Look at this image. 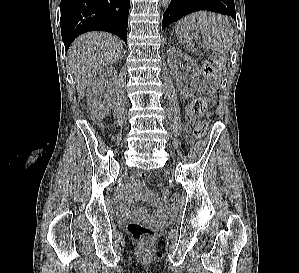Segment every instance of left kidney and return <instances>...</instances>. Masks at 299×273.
<instances>
[{"instance_id":"1","label":"left kidney","mask_w":299,"mask_h":273,"mask_svg":"<svg viewBox=\"0 0 299 273\" xmlns=\"http://www.w3.org/2000/svg\"><path fill=\"white\" fill-rule=\"evenodd\" d=\"M178 59H183L184 61H186L187 71L192 72L191 83H190L189 88L185 87L182 84V81H181L182 75L178 71V68L176 66V62L178 61ZM168 66L170 68V73L175 77V79L177 81L178 91L180 92L181 96L184 98H188V97L192 96L196 91L197 85L200 80V74H201V71H200L196 61L193 58H191L190 56L182 53L179 49H177L175 47H171L169 49V53H168Z\"/></svg>"}]
</instances>
